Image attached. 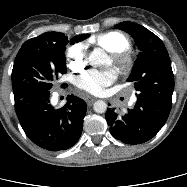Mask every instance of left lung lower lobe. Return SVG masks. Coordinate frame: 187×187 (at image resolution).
<instances>
[{"mask_svg": "<svg viewBox=\"0 0 187 187\" xmlns=\"http://www.w3.org/2000/svg\"><path fill=\"white\" fill-rule=\"evenodd\" d=\"M171 104L137 97L135 106L124 116L107 109L106 120L110 133L126 144H140L153 138L165 124Z\"/></svg>", "mask_w": 187, "mask_h": 187, "instance_id": "obj_1", "label": "left lung lower lobe"}]
</instances>
